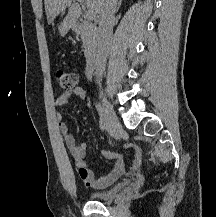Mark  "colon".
<instances>
[{
  "instance_id": "colon-1",
  "label": "colon",
  "mask_w": 216,
  "mask_h": 217,
  "mask_svg": "<svg viewBox=\"0 0 216 217\" xmlns=\"http://www.w3.org/2000/svg\"><path fill=\"white\" fill-rule=\"evenodd\" d=\"M56 81L59 86L64 90H72L76 87L78 77L77 74L72 71L67 70H57L56 72Z\"/></svg>"
}]
</instances>
